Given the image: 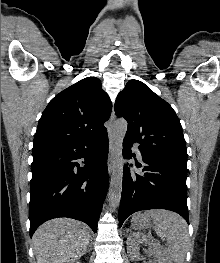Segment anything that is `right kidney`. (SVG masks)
<instances>
[{"mask_svg":"<svg viewBox=\"0 0 220 263\" xmlns=\"http://www.w3.org/2000/svg\"><path fill=\"white\" fill-rule=\"evenodd\" d=\"M71 263H81V262H80V261H76V262H75V261H72Z\"/></svg>","mask_w":220,"mask_h":263,"instance_id":"ca27d5eb","label":"right kidney"}]
</instances>
